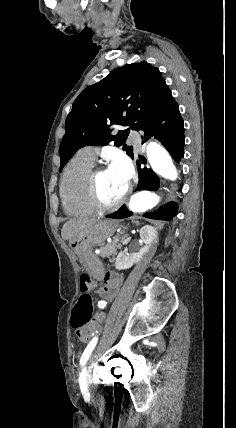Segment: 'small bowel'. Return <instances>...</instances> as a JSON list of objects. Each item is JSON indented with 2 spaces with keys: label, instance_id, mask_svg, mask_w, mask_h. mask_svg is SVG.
<instances>
[{
  "label": "small bowel",
  "instance_id": "1",
  "mask_svg": "<svg viewBox=\"0 0 236 428\" xmlns=\"http://www.w3.org/2000/svg\"><path fill=\"white\" fill-rule=\"evenodd\" d=\"M122 282L123 278L120 274L115 272H109L106 274L104 278V286L99 291L102 299L97 304V318L99 321H102L104 319V309L106 308L107 304L116 297L122 285ZM95 330V325L91 324L83 328L82 330L77 331V335L80 340H82L83 342H87L89 338L94 334Z\"/></svg>",
  "mask_w": 236,
  "mask_h": 428
}]
</instances>
